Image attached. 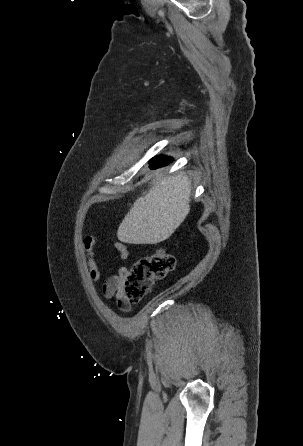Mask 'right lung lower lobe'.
Segmentation results:
<instances>
[{
    "label": "right lung lower lobe",
    "mask_w": 303,
    "mask_h": 446,
    "mask_svg": "<svg viewBox=\"0 0 303 446\" xmlns=\"http://www.w3.org/2000/svg\"><path fill=\"white\" fill-rule=\"evenodd\" d=\"M172 161L171 157H165V156H158L153 158V160L151 161V168L156 169L158 167H162L167 165L169 162Z\"/></svg>",
    "instance_id": "98d812e1"
}]
</instances>
